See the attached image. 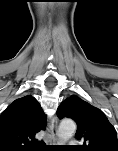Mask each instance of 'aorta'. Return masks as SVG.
<instances>
[{"mask_svg":"<svg viewBox=\"0 0 118 151\" xmlns=\"http://www.w3.org/2000/svg\"><path fill=\"white\" fill-rule=\"evenodd\" d=\"M76 132V124L71 119L63 120L58 129V136L62 144L66 143Z\"/></svg>","mask_w":118,"mask_h":151,"instance_id":"762f6f07","label":"aorta"}]
</instances>
